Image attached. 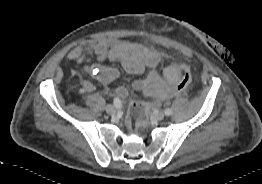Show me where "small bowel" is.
Returning a JSON list of instances; mask_svg holds the SVG:
<instances>
[{"label":"small bowel","instance_id":"c3829d8e","mask_svg":"<svg viewBox=\"0 0 262 184\" xmlns=\"http://www.w3.org/2000/svg\"><path fill=\"white\" fill-rule=\"evenodd\" d=\"M93 55L98 60L97 64L91 62ZM67 60L82 65L86 74L103 84H108L119 76L118 69L104 66L105 62H119L130 74L145 73L144 78L133 82V88L154 97L164 95L172 86H178L182 77V67L177 62L167 66L163 73H160L158 66L161 55L144 45L129 41L98 40L72 49L67 55ZM80 90L82 93H90L94 90V85L88 80H82Z\"/></svg>","mask_w":262,"mask_h":184}]
</instances>
